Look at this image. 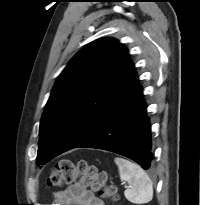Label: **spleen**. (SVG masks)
<instances>
[{
    "instance_id": "1",
    "label": "spleen",
    "mask_w": 200,
    "mask_h": 205,
    "mask_svg": "<svg viewBox=\"0 0 200 205\" xmlns=\"http://www.w3.org/2000/svg\"><path fill=\"white\" fill-rule=\"evenodd\" d=\"M114 162L118 166L120 179L129 184L124 192L127 200L134 204L150 202L153 198V185L146 172L138 164L124 158L117 157Z\"/></svg>"
}]
</instances>
